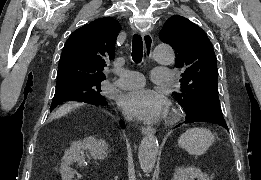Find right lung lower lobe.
<instances>
[{
    "mask_svg": "<svg viewBox=\"0 0 261 180\" xmlns=\"http://www.w3.org/2000/svg\"><path fill=\"white\" fill-rule=\"evenodd\" d=\"M90 104L97 105V106H99V105L103 106V105H105V104H106V101L104 100V101H102V102H98V103H90ZM120 125H121V127H122V128H124V127H125V125H124V122H123V121H120Z\"/></svg>",
    "mask_w": 261,
    "mask_h": 180,
    "instance_id": "98d812e1",
    "label": "right lung lower lobe"
}]
</instances>
